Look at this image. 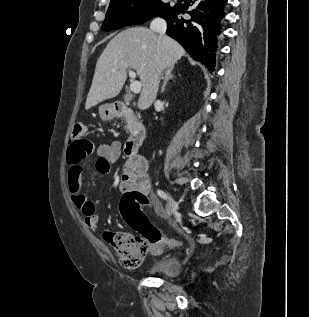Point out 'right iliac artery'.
<instances>
[{"mask_svg":"<svg viewBox=\"0 0 309 317\" xmlns=\"http://www.w3.org/2000/svg\"><path fill=\"white\" fill-rule=\"evenodd\" d=\"M157 194L159 195V197H161L164 200H167V198H168L166 193L162 190H157Z\"/></svg>","mask_w":309,"mask_h":317,"instance_id":"obj_1","label":"right iliac artery"}]
</instances>
